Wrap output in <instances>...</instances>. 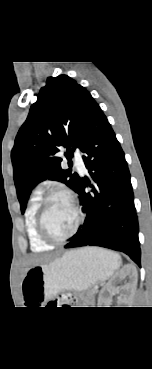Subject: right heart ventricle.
Segmentation results:
<instances>
[{"label": "right heart ventricle", "instance_id": "e07e8e85", "mask_svg": "<svg viewBox=\"0 0 152 369\" xmlns=\"http://www.w3.org/2000/svg\"><path fill=\"white\" fill-rule=\"evenodd\" d=\"M41 194L35 191L29 198L25 212L26 233L29 239L30 247L35 252L47 251L51 248V244L45 242L37 229L36 217L41 201Z\"/></svg>", "mask_w": 152, "mask_h": 369}]
</instances>
